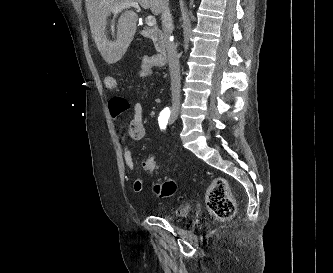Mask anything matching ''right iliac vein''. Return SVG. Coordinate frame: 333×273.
<instances>
[{"label": "right iliac vein", "mask_w": 333, "mask_h": 273, "mask_svg": "<svg viewBox=\"0 0 333 273\" xmlns=\"http://www.w3.org/2000/svg\"><path fill=\"white\" fill-rule=\"evenodd\" d=\"M177 118V114L175 112L171 113V119L175 120Z\"/></svg>", "instance_id": "63e3f726"}]
</instances>
